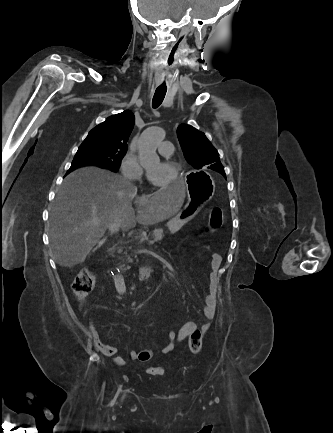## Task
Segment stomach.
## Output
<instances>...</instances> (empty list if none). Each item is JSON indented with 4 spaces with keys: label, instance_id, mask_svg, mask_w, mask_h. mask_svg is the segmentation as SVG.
<instances>
[{
    "label": "stomach",
    "instance_id": "stomach-1",
    "mask_svg": "<svg viewBox=\"0 0 333 433\" xmlns=\"http://www.w3.org/2000/svg\"><path fill=\"white\" fill-rule=\"evenodd\" d=\"M181 183H191L188 191V202L184 208L170 221L171 228H180L194 218L201 210L202 203L211 200L215 193L213 178L198 169H189L187 174H181ZM142 205L146 203L141 200Z\"/></svg>",
    "mask_w": 333,
    "mask_h": 433
}]
</instances>
